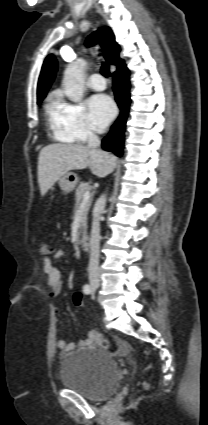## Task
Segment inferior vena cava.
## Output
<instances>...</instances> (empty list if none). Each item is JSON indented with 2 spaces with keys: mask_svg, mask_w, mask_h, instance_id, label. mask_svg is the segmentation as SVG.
I'll use <instances>...</instances> for the list:
<instances>
[{
  "mask_svg": "<svg viewBox=\"0 0 208 425\" xmlns=\"http://www.w3.org/2000/svg\"><path fill=\"white\" fill-rule=\"evenodd\" d=\"M100 139L92 131L88 132V148L99 151ZM106 203L105 196H101L97 201V211L94 215L90 237V261H89V280L90 282H99V253H100V216L104 211Z\"/></svg>",
  "mask_w": 208,
  "mask_h": 425,
  "instance_id": "1",
  "label": "inferior vena cava"
}]
</instances>
